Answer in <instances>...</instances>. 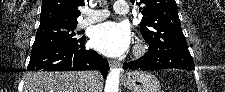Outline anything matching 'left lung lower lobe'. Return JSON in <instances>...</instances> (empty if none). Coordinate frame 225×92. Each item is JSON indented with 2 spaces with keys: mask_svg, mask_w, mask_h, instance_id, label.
<instances>
[{
  "mask_svg": "<svg viewBox=\"0 0 225 92\" xmlns=\"http://www.w3.org/2000/svg\"><path fill=\"white\" fill-rule=\"evenodd\" d=\"M123 68L142 70L178 68L193 70L194 62L188 48L155 49L149 46L144 56L135 61L124 63Z\"/></svg>",
  "mask_w": 225,
  "mask_h": 92,
  "instance_id": "0a47b994",
  "label": "left lung lower lobe"
}]
</instances>
